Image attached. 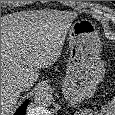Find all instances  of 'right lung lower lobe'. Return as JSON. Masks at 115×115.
Masks as SVG:
<instances>
[{
  "mask_svg": "<svg viewBox=\"0 0 115 115\" xmlns=\"http://www.w3.org/2000/svg\"><path fill=\"white\" fill-rule=\"evenodd\" d=\"M28 104V100H26L21 107H19V109L16 111V113L14 115H24L25 111H26V107Z\"/></svg>",
  "mask_w": 115,
  "mask_h": 115,
  "instance_id": "1",
  "label": "right lung lower lobe"
}]
</instances>
